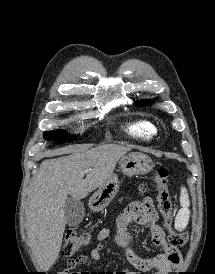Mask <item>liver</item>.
I'll return each instance as SVG.
<instances>
[{"label": "liver", "instance_id": "6515ba94", "mask_svg": "<svg viewBox=\"0 0 215 274\" xmlns=\"http://www.w3.org/2000/svg\"><path fill=\"white\" fill-rule=\"evenodd\" d=\"M130 149L107 144L86 148L62 149L47 156L30 183L26 211V233L39 269L48 271L61 249L66 218L65 204L70 195L78 200L107 182L117 162ZM88 170L83 179L81 173Z\"/></svg>", "mask_w": 215, "mask_h": 274}]
</instances>
